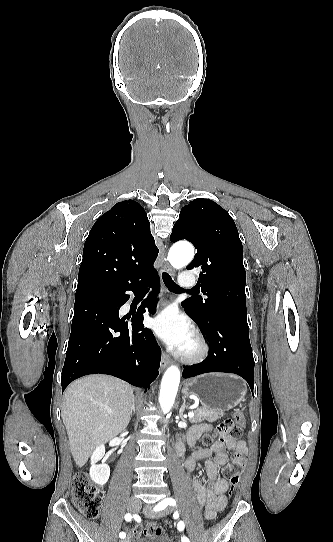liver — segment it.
I'll return each instance as SVG.
<instances>
[{
	"mask_svg": "<svg viewBox=\"0 0 333 542\" xmlns=\"http://www.w3.org/2000/svg\"><path fill=\"white\" fill-rule=\"evenodd\" d=\"M134 394L132 386L103 374H92L68 386L62 404L71 454L79 468L92 450L127 428Z\"/></svg>",
	"mask_w": 333,
	"mask_h": 542,
	"instance_id": "6515ba94",
	"label": "liver"
}]
</instances>
